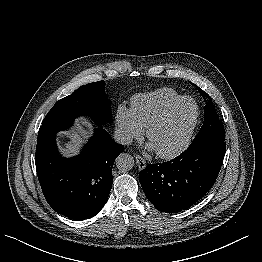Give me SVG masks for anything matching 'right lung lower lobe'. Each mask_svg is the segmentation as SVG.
<instances>
[{"label":"right lung lower lobe","mask_w":262,"mask_h":262,"mask_svg":"<svg viewBox=\"0 0 262 262\" xmlns=\"http://www.w3.org/2000/svg\"><path fill=\"white\" fill-rule=\"evenodd\" d=\"M70 124L41 126L38 132L35 164L48 204L70 219L95 216L107 202L112 187V167L124 146L117 144L103 128L94 135L80 155L62 158L55 135Z\"/></svg>","instance_id":"right-lung-lower-lobe-1"}]
</instances>
